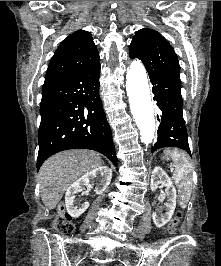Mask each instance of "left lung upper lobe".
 I'll list each match as a JSON object with an SVG mask.
<instances>
[{
  "label": "left lung upper lobe",
  "mask_w": 221,
  "mask_h": 266,
  "mask_svg": "<svg viewBox=\"0 0 221 266\" xmlns=\"http://www.w3.org/2000/svg\"><path fill=\"white\" fill-rule=\"evenodd\" d=\"M129 55L142 60L149 76H163L181 82L177 55L158 32L148 28L137 31L130 44Z\"/></svg>",
  "instance_id": "left-lung-upper-lobe-1"
}]
</instances>
